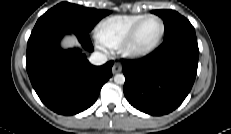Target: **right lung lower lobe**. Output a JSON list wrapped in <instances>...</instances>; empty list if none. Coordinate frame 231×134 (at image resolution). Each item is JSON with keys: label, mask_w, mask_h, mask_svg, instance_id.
I'll use <instances>...</instances> for the list:
<instances>
[{"label": "right lung lower lobe", "mask_w": 231, "mask_h": 134, "mask_svg": "<svg viewBox=\"0 0 231 134\" xmlns=\"http://www.w3.org/2000/svg\"><path fill=\"white\" fill-rule=\"evenodd\" d=\"M70 32L85 50L93 51L87 32L50 23L33 29L26 54V68L34 90L49 109L62 115L77 114L93 105L103 84L112 76L113 61L93 66L80 49L60 48V40Z\"/></svg>", "instance_id": "98d812e1"}]
</instances>
